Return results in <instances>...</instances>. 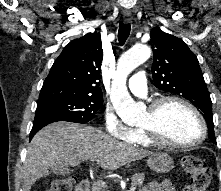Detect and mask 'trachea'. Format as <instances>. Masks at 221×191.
I'll list each match as a JSON object with an SVG mask.
<instances>
[{
  "mask_svg": "<svg viewBox=\"0 0 221 191\" xmlns=\"http://www.w3.org/2000/svg\"><path fill=\"white\" fill-rule=\"evenodd\" d=\"M130 30L131 27L129 23L125 24L123 22H120L118 30V41L120 45H124V43L130 35Z\"/></svg>",
  "mask_w": 221,
  "mask_h": 191,
  "instance_id": "obj_1",
  "label": "trachea"
}]
</instances>
